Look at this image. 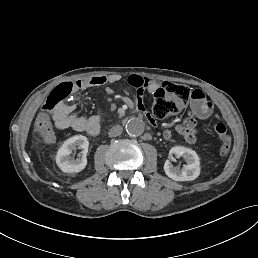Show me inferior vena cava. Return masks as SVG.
<instances>
[{
    "instance_id": "602c4592",
    "label": "inferior vena cava",
    "mask_w": 258,
    "mask_h": 258,
    "mask_svg": "<svg viewBox=\"0 0 258 258\" xmlns=\"http://www.w3.org/2000/svg\"><path fill=\"white\" fill-rule=\"evenodd\" d=\"M123 128L120 125L114 126L109 130V137H117L122 134Z\"/></svg>"
}]
</instances>
